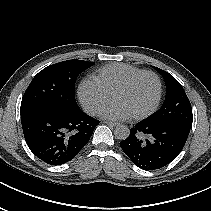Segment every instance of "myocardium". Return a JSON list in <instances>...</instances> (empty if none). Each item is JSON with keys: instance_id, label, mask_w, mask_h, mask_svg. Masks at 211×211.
<instances>
[{"instance_id": "1", "label": "myocardium", "mask_w": 211, "mask_h": 211, "mask_svg": "<svg viewBox=\"0 0 211 211\" xmlns=\"http://www.w3.org/2000/svg\"><path fill=\"white\" fill-rule=\"evenodd\" d=\"M153 76L156 81H157V85H158V93H157V98L155 103L153 104V106L147 110L146 112H143L141 114H136V115H132L131 117L135 120H142L145 119L149 116H151L153 113L156 112V110L158 109L160 103H161V99H162V93H163V84H162V80L160 78V76L153 72V71H144L141 72L131 78H129L126 82H124L122 85H120L113 93H112V99L119 93H122L124 91H126L127 89H129L136 81H138L140 78L144 77V76Z\"/></svg>"}]
</instances>
